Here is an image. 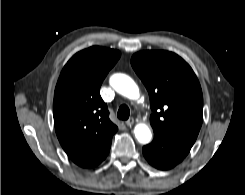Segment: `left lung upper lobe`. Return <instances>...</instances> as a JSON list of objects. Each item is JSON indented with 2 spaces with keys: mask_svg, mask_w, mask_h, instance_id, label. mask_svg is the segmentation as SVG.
<instances>
[{
  "mask_svg": "<svg viewBox=\"0 0 245 195\" xmlns=\"http://www.w3.org/2000/svg\"><path fill=\"white\" fill-rule=\"evenodd\" d=\"M131 65L148 90L154 132L195 142L203 121V95L192 68L168 51H141Z\"/></svg>",
  "mask_w": 245,
  "mask_h": 195,
  "instance_id": "5c2ea615",
  "label": "left lung upper lobe"
}]
</instances>
